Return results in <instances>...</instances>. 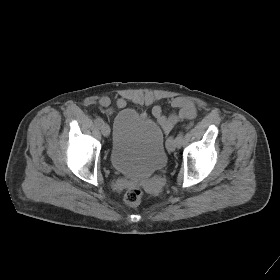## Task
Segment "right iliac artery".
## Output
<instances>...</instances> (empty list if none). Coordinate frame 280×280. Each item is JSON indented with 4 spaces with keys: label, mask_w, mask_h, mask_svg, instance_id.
<instances>
[{
    "label": "right iliac artery",
    "mask_w": 280,
    "mask_h": 280,
    "mask_svg": "<svg viewBox=\"0 0 280 280\" xmlns=\"http://www.w3.org/2000/svg\"><path fill=\"white\" fill-rule=\"evenodd\" d=\"M96 126H101L103 124V120L102 118L100 117H97L95 120H94Z\"/></svg>",
    "instance_id": "1"
}]
</instances>
